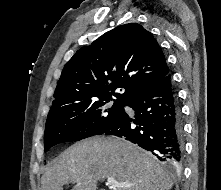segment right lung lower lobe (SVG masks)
Masks as SVG:
<instances>
[{"mask_svg":"<svg viewBox=\"0 0 221 190\" xmlns=\"http://www.w3.org/2000/svg\"><path fill=\"white\" fill-rule=\"evenodd\" d=\"M136 115L123 112L107 132L152 152L160 161L178 168L183 157L181 111L170 74L125 100Z\"/></svg>","mask_w":221,"mask_h":190,"instance_id":"98d812e1","label":"right lung lower lobe"}]
</instances>
